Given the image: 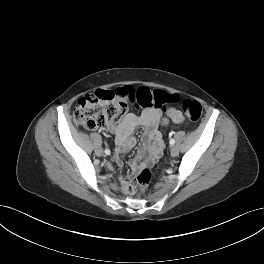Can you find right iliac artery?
<instances>
[{
  "mask_svg": "<svg viewBox=\"0 0 264 264\" xmlns=\"http://www.w3.org/2000/svg\"><path fill=\"white\" fill-rule=\"evenodd\" d=\"M111 151L109 149H105V154L110 155Z\"/></svg>",
  "mask_w": 264,
  "mask_h": 264,
  "instance_id": "82829eb1",
  "label": "right iliac artery"
}]
</instances>
